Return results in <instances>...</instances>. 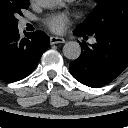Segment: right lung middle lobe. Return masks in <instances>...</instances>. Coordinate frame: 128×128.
<instances>
[{
    "label": "right lung middle lobe",
    "instance_id": "obj_1",
    "mask_svg": "<svg viewBox=\"0 0 128 128\" xmlns=\"http://www.w3.org/2000/svg\"><path fill=\"white\" fill-rule=\"evenodd\" d=\"M29 7V0H0V32L17 29L16 16Z\"/></svg>",
    "mask_w": 128,
    "mask_h": 128
}]
</instances>
